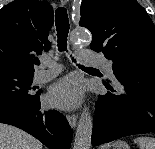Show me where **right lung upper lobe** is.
Here are the masks:
<instances>
[{
	"label": "right lung upper lobe",
	"instance_id": "obj_1",
	"mask_svg": "<svg viewBox=\"0 0 155 149\" xmlns=\"http://www.w3.org/2000/svg\"><path fill=\"white\" fill-rule=\"evenodd\" d=\"M54 23L48 2L14 0L0 10V67L34 73V52L49 50L47 36Z\"/></svg>",
	"mask_w": 155,
	"mask_h": 149
}]
</instances>
